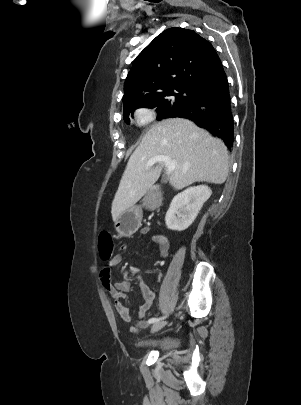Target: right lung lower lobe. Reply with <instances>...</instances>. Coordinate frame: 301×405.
Masks as SVG:
<instances>
[{
	"mask_svg": "<svg viewBox=\"0 0 301 405\" xmlns=\"http://www.w3.org/2000/svg\"><path fill=\"white\" fill-rule=\"evenodd\" d=\"M170 117L190 119L222 139L229 149L233 147L234 118L226 76L215 85L202 90L191 103L175 110L166 118Z\"/></svg>",
	"mask_w": 301,
	"mask_h": 405,
	"instance_id": "right-lung-lower-lobe-1",
	"label": "right lung lower lobe"
}]
</instances>
